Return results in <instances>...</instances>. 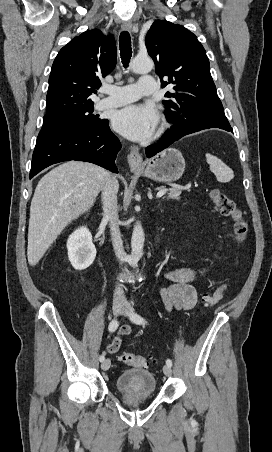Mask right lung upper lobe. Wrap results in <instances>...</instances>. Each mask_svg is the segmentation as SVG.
I'll return each instance as SVG.
<instances>
[{
    "instance_id": "cb5924a9",
    "label": "right lung upper lobe",
    "mask_w": 272,
    "mask_h": 452,
    "mask_svg": "<svg viewBox=\"0 0 272 452\" xmlns=\"http://www.w3.org/2000/svg\"><path fill=\"white\" fill-rule=\"evenodd\" d=\"M116 58L114 37L98 29L71 40L52 65L46 114L93 105L91 95L100 87V77L114 69Z\"/></svg>"
}]
</instances>
